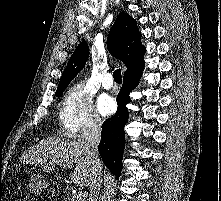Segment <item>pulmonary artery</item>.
Listing matches in <instances>:
<instances>
[{"label": "pulmonary artery", "instance_id": "pulmonary-artery-1", "mask_svg": "<svg viewBox=\"0 0 221 201\" xmlns=\"http://www.w3.org/2000/svg\"><path fill=\"white\" fill-rule=\"evenodd\" d=\"M102 86L105 89H110L113 86V79H112V74L111 73H106L103 77L102 80Z\"/></svg>", "mask_w": 221, "mask_h": 201}]
</instances>
